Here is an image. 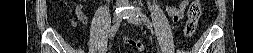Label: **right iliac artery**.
<instances>
[{
	"label": "right iliac artery",
	"instance_id": "1",
	"mask_svg": "<svg viewBox=\"0 0 253 53\" xmlns=\"http://www.w3.org/2000/svg\"><path fill=\"white\" fill-rule=\"evenodd\" d=\"M119 25H120V23H118L117 26H113L111 28L110 34H109L110 40H112V38L114 37L116 31L118 30Z\"/></svg>",
	"mask_w": 253,
	"mask_h": 53
}]
</instances>
